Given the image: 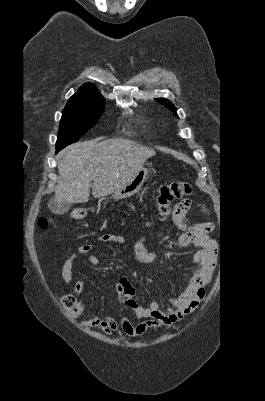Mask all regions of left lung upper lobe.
Listing matches in <instances>:
<instances>
[{
  "instance_id": "obj_1",
  "label": "left lung upper lobe",
  "mask_w": 265,
  "mask_h": 401,
  "mask_svg": "<svg viewBox=\"0 0 265 401\" xmlns=\"http://www.w3.org/2000/svg\"><path fill=\"white\" fill-rule=\"evenodd\" d=\"M156 100H158L159 103L165 105L166 107H168L171 111H173L176 114V108L170 101L163 99V98L156 99Z\"/></svg>"
}]
</instances>
